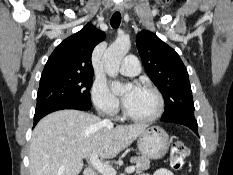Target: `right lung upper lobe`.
Listing matches in <instances>:
<instances>
[{"mask_svg": "<svg viewBox=\"0 0 233 175\" xmlns=\"http://www.w3.org/2000/svg\"><path fill=\"white\" fill-rule=\"evenodd\" d=\"M105 38V34L88 23L82 30L61 42L50 55L41 78L92 74L91 55L94 47Z\"/></svg>", "mask_w": 233, "mask_h": 175, "instance_id": "1", "label": "right lung upper lobe"}]
</instances>
